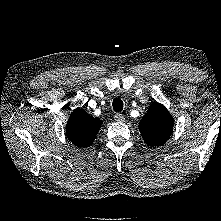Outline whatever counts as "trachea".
<instances>
[{
	"label": "trachea",
	"mask_w": 221,
	"mask_h": 221,
	"mask_svg": "<svg viewBox=\"0 0 221 221\" xmlns=\"http://www.w3.org/2000/svg\"><path fill=\"white\" fill-rule=\"evenodd\" d=\"M113 110L116 112H121L123 110V101L119 98H115L112 103Z\"/></svg>",
	"instance_id": "trachea-1"
}]
</instances>
